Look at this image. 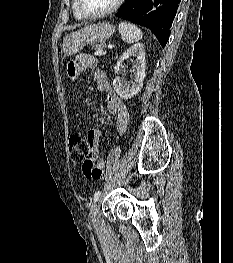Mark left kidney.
Masks as SVG:
<instances>
[{
    "instance_id": "5707ae66",
    "label": "left kidney",
    "mask_w": 233,
    "mask_h": 263,
    "mask_svg": "<svg viewBox=\"0 0 233 263\" xmlns=\"http://www.w3.org/2000/svg\"><path fill=\"white\" fill-rule=\"evenodd\" d=\"M130 56L135 57V62L132 66L131 73H133L132 85L129 86L127 83L119 77H116L113 80V88L116 93L124 100H128L133 96L137 95L142 86L145 78V50L144 46L141 43H137L131 46L126 52H124L118 59L114 70L116 73L122 70V64L129 59Z\"/></svg>"
}]
</instances>
